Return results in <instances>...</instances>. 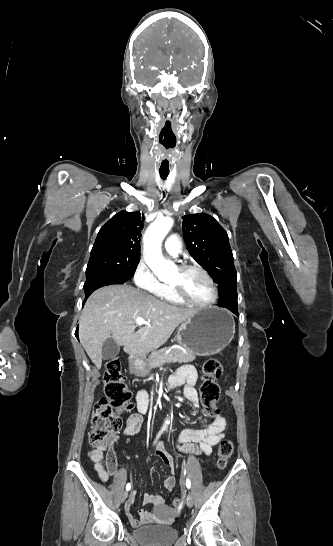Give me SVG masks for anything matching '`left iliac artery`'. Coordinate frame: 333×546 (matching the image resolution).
I'll return each instance as SVG.
<instances>
[{"mask_svg":"<svg viewBox=\"0 0 333 546\" xmlns=\"http://www.w3.org/2000/svg\"><path fill=\"white\" fill-rule=\"evenodd\" d=\"M186 486L188 489L191 487V482L189 479H186Z\"/></svg>","mask_w":333,"mask_h":546,"instance_id":"1","label":"left iliac artery"}]
</instances>
